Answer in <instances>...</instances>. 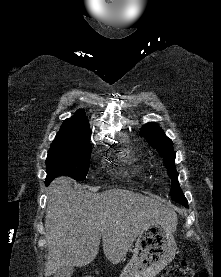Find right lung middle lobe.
<instances>
[{"instance_id": "1", "label": "right lung middle lobe", "mask_w": 221, "mask_h": 277, "mask_svg": "<svg viewBox=\"0 0 221 277\" xmlns=\"http://www.w3.org/2000/svg\"><path fill=\"white\" fill-rule=\"evenodd\" d=\"M92 147L90 137L72 138L56 136L46 159L48 185L57 176H70L84 180L90 166Z\"/></svg>"}]
</instances>
